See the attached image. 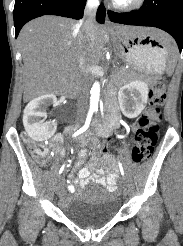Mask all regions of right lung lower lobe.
<instances>
[{
	"label": "right lung lower lobe",
	"instance_id": "right-lung-lower-lobe-1",
	"mask_svg": "<svg viewBox=\"0 0 183 246\" xmlns=\"http://www.w3.org/2000/svg\"><path fill=\"white\" fill-rule=\"evenodd\" d=\"M85 3L86 0H15L13 17L16 37L25 23L43 15H58L81 19ZM105 14V7L100 5L96 20L103 24Z\"/></svg>",
	"mask_w": 183,
	"mask_h": 246
}]
</instances>
